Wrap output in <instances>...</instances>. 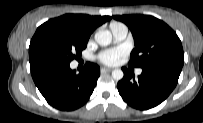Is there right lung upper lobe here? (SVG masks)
Masks as SVG:
<instances>
[{"label": "right lung upper lobe", "instance_id": "obj_1", "mask_svg": "<svg viewBox=\"0 0 203 123\" xmlns=\"http://www.w3.org/2000/svg\"><path fill=\"white\" fill-rule=\"evenodd\" d=\"M110 16H90L86 14H65L54 20L63 21L76 28L83 36L89 38L91 33L103 23L109 21Z\"/></svg>", "mask_w": 203, "mask_h": 123}]
</instances>
